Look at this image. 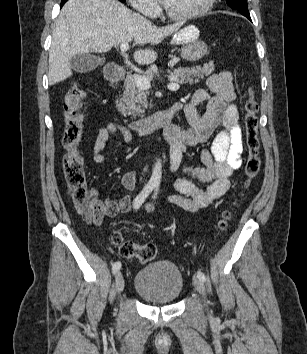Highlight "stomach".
Masks as SVG:
<instances>
[{
    "mask_svg": "<svg viewBox=\"0 0 307 354\" xmlns=\"http://www.w3.org/2000/svg\"><path fill=\"white\" fill-rule=\"evenodd\" d=\"M199 30L194 25H189L177 32L171 43L184 45L181 49V57L187 61L195 62L203 58L208 51L207 44L198 40Z\"/></svg>",
    "mask_w": 307,
    "mask_h": 354,
    "instance_id": "stomach-1",
    "label": "stomach"
}]
</instances>
